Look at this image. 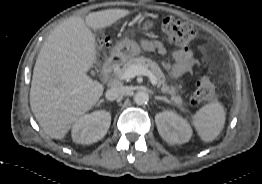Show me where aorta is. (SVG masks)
Returning <instances> with one entry per match:
<instances>
[{"instance_id":"762f6f07","label":"aorta","mask_w":262,"mask_h":184,"mask_svg":"<svg viewBox=\"0 0 262 184\" xmlns=\"http://www.w3.org/2000/svg\"><path fill=\"white\" fill-rule=\"evenodd\" d=\"M134 102L138 105H144L147 104L149 101V95L145 91H138L134 95Z\"/></svg>"}]
</instances>
